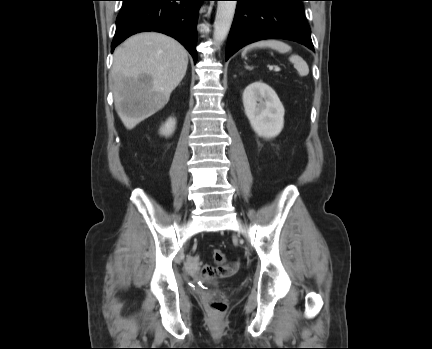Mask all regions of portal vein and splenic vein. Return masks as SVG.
I'll use <instances>...</instances> for the list:
<instances>
[{
	"label": "portal vein and splenic vein",
	"mask_w": 432,
	"mask_h": 349,
	"mask_svg": "<svg viewBox=\"0 0 432 349\" xmlns=\"http://www.w3.org/2000/svg\"><path fill=\"white\" fill-rule=\"evenodd\" d=\"M269 69H270V70H274V71H276V72H279V71H280V67H278V66H269Z\"/></svg>",
	"instance_id": "18ae733b"
}]
</instances>
